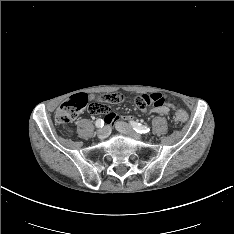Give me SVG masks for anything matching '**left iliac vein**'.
Wrapping results in <instances>:
<instances>
[{
    "mask_svg": "<svg viewBox=\"0 0 234 234\" xmlns=\"http://www.w3.org/2000/svg\"><path fill=\"white\" fill-rule=\"evenodd\" d=\"M116 129L121 132L124 133L125 135L135 139V140H142V136L138 133H136L133 128L128 125L127 123L124 122H116Z\"/></svg>",
    "mask_w": 234,
    "mask_h": 234,
    "instance_id": "obj_1",
    "label": "left iliac vein"
}]
</instances>
